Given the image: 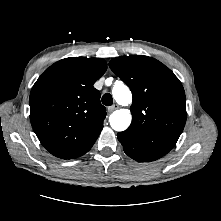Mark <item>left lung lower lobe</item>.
I'll return each mask as SVG.
<instances>
[{"label":"left lung lower lobe","instance_id":"0a47b994","mask_svg":"<svg viewBox=\"0 0 221 221\" xmlns=\"http://www.w3.org/2000/svg\"><path fill=\"white\" fill-rule=\"evenodd\" d=\"M119 141L121 142L123 149L125 151V153L131 157L132 159L136 160V161H142V162H149V161H154L156 160L153 157L144 155L140 152H138L137 150H135L134 148H132L130 145H128V143L126 142V140L121 137L119 134L117 135Z\"/></svg>","mask_w":221,"mask_h":221}]
</instances>
